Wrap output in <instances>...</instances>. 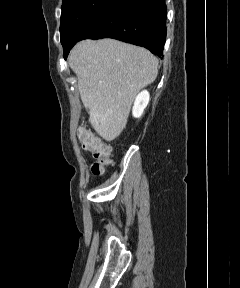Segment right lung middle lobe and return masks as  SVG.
Listing matches in <instances>:
<instances>
[{"instance_id": "dd1d6c3e", "label": "right lung middle lobe", "mask_w": 240, "mask_h": 288, "mask_svg": "<svg viewBox=\"0 0 240 288\" xmlns=\"http://www.w3.org/2000/svg\"><path fill=\"white\" fill-rule=\"evenodd\" d=\"M115 0H63L60 35L63 48L73 46Z\"/></svg>"}]
</instances>
